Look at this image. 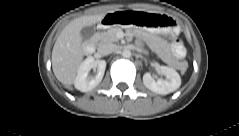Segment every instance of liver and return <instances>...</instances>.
Masks as SVG:
<instances>
[{"label":"liver","instance_id":"liver-1","mask_svg":"<svg viewBox=\"0 0 239 136\" xmlns=\"http://www.w3.org/2000/svg\"><path fill=\"white\" fill-rule=\"evenodd\" d=\"M105 14L81 16L72 20L58 36L52 50V68L56 78L65 86L75 82L86 49L81 30L100 22Z\"/></svg>","mask_w":239,"mask_h":136}]
</instances>
